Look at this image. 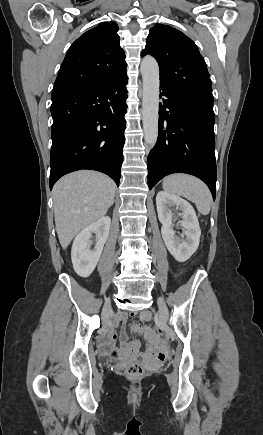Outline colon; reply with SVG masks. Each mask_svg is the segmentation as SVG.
I'll return each mask as SVG.
<instances>
[{
	"mask_svg": "<svg viewBox=\"0 0 263 435\" xmlns=\"http://www.w3.org/2000/svg\"><path fill=\"white\" fill-rule=\"evenodd\" d=\"M153 328H154L157 332H159L161 335L164 334V330L162 329V327H160L159 324H154V325H153ZM160 341H161V343H162V340H161V339H160ZM152 355H153V354H152ZM144 372H145V368H144V366H143L142 364H140V363H132V364L128 365V366L125 368V374H126V376L129 377V378H132V379H138V378L142 377L143 374H144Z\"/></svg>",
	"mask_w": 263,
	"mask_h": 435,
	"instance_id": "5ec220e1",
	"label": "colon"
}]
</instances>
